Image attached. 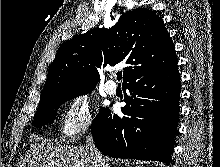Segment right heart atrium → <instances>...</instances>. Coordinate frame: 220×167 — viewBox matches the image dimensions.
Segmentation results:
<instances>
[{
    "label": "right heart atrium",
    "mask_w": 220,
    "mask_h": 167,
    "mask_svg": "<svg viewBox=\"0 0 220 167\" xmlns=\"http://www.w3.org/2000/svg\"><path fill=\"white\" fill-rule=\"evenodd\" d=\"M92 126L90 99L86 94L73 95L65 105L61 120L60 131L67 141L75 140Z\"/></svg>",
    "instance_id": "d8ad5b80"
}]
</instances>
